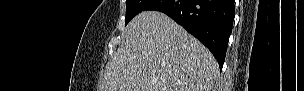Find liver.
Listing matches in <instances>:
<instances>
[{
	"label": "liver",
	"instance_id": "obj_1",
	"mask_svg": "<svg viewBox=\"0 0 304 91\" xmlns=\"http://www.w3.org/2000/svg\"><path fill=\"white\" fill-rule=\"evenodd\" d=\"M218 72L212 53L182 26L144 11L127 25L102 91H211Z\"/></svg>",
	"mask_w": 304,
	"mask_h": 91
}]
</instances>
